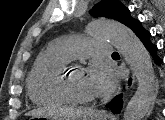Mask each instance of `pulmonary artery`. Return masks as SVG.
Returning <instances> with one entry per match:
<instances>
[{
	"mask_svg": "<svg viewBox=\"0 0 165 120\" xmlns=\"http://www.w3.org/2000/svg\"><path fill=\"white\" fill-rule=\"evenodd\" d=\"M53 46L70 60L88 55L109 56L112 53V46L107 42L73 36L61 37L53 43Z\"/></svg>",
	"mask_w": 165,
	"mask_h": 120,
	"instance_id": "pulmonary-artery-1",
	"label": "pulmonary artery"
}]
</instances>
